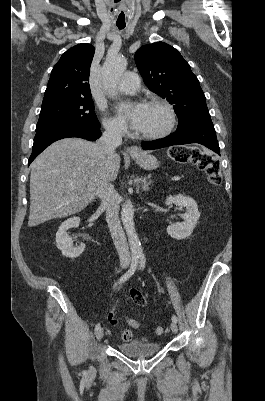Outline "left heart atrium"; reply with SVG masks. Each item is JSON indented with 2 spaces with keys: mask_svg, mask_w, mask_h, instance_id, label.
I'll return each mask as SVG.
<instances>
[{
  "mask_svg": "<svg viewBox=\"0 0 265 401\" xmlns=\"http://www.w3.org/2000/svg\"><path fill=\"white\" fill-rule=\"evenodd\" d=\"M145 103L121 102L115 106L119 118L129 121L133 127L139 128L145 118L147 111Z\"/></svg>",
  "mask_w": 265,
  "mask_h": 401,
  "instance_id": "39dd6f15",
  "label": "left heart atrium"
}]
</instances>
